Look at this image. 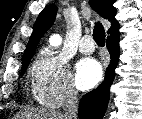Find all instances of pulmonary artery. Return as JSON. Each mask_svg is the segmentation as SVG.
I'll return each instance as SVG.
<instances>
[{"instance_id":"e3ab8cb5","label":"pulmonary artery","mask_w":142,"mask_h":119,"mask_svg":"<svg viewBox=\"0 0 142 119\" xmlns=\"http://www.w3.org/2000/svg\"><path fill=\"white\" fill-rule=\"evenodd\" d=\"M79 50L83 54H91L95 50V44L91 36H84L79 43Z\"/></svg>"}]
</instances>
